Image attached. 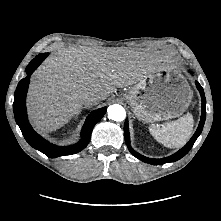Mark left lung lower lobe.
I'll use <instances>...</instances> for the list:
<instances>
[{"label":"left lung lower lobe","instance_id":"obj_1","mask_svg":"<svg viewBox=\"0 0 221 221\" xmlns=\"http://www.w3.org/2000/svg\"><path fill=\"white\" fill-rule=\"evenodd\" d=\"M195 83H196L197 89L200 92L201 99H202V113H201V120H200L199 126H198L195 134L193 135V137L190 139V141L182 149H180L178 152H176L175 154H173V155H171L169 157L161 158V159L147 158V157L139 154L138 152H136L131 147V145H130V136H129V128H128V120L126 119L125 124H124V135H125L126 143L128 145V149H129V151L131 152V154L133 156H135L139 160H141V161H143L145 163H148V164L162 165V164H165V163L177 161V160L181 159L183 156H185L189 152V150L191 149V147L195 143L196 139L198 138V136L202 132V129H203V126H204V123H205V118H206V99H205V94H204V91H203V88L201 87V85L197 81Z\"/></svg>","mask_w":221,"mask_h":221}]
</instances>
